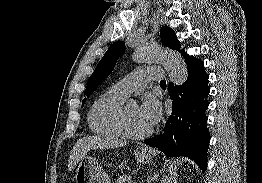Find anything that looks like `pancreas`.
Here are the masks:
<instances>
[{
    "mask_svg": "<svg viewBox=\"0 0 262 183\" xmlns=\"http://www.w3.org/2000/svg\"><path fill=\"white\" fill-rule=\"evenodd\" d=\"M115 183H133V182L131 180L130 175L123 174V175L118 176Z\"/></svg>",
    "mask_w": 262,
    "mask_h": 183,
    "instance_id": "obj_1",
    "label": "pancreas"
}]
</instances>
